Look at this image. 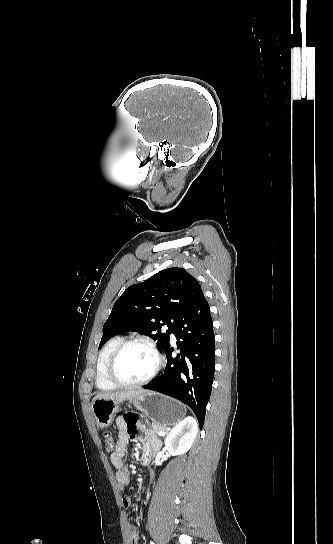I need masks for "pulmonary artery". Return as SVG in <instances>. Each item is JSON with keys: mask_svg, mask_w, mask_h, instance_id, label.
I'll use <instances>...</instances> for the list:
<instances>
[{"mask_svg": "<svg viewBox=\"0 0 333 544\" xmlns=\"http://www.w3.org/2000/svg\"><path fill=\"white\" fill-rule=\"evenodd\" d=\"M171 339H172L173 341H175V336H174V334H171Z\"/></svg>", "mask_w": 333, "mask_h": 544, "instance_id": "e3ab8cb5", "label": "pulmonary artery"}]
</instances>
